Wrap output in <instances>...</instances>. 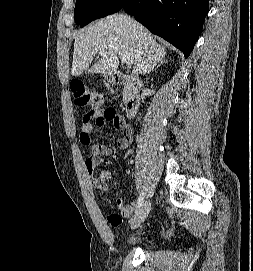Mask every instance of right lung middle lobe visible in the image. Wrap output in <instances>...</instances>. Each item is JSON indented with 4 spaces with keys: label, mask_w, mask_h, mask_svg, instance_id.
<instances>
[{
    "label": "right lung middle lobe",
    "mask_w": 253,
    "mask_h": 271,
    "mask_svg": "<svg viewBox=\"0 0 253 271\" xmlns=\"http://www.w3.org/2000/svg\"><path fill=\"white\" fill-rule=\"evenodd\" d=\"M127 0H76L75 22L83 27L91 21L118 12Z\"/></svg>",
    "instance_id": "right-lung-middle-lobe-1"
}]
</instances>
